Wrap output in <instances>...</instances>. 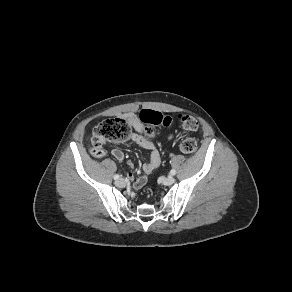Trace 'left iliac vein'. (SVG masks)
<instances>
[{
	"label": "left iliac vein",
	"mask_w": 292,
	"mask_h": 292,
	"mask_svg": "<svg viewBox=\"0 0 292 292\" xmlns=\"http://www.w3.org/2000/svg\"><path fill=\"white\" fill-rule=\"evenodd\" d=\"M174 182H175V179L173 177H171V176L162 178V183L164 185L169 186V185H172Z\"/></svg>",
	"instance_id": "1"
}]
</instances>
